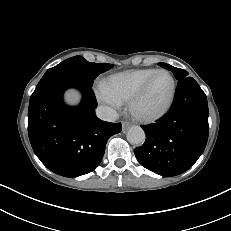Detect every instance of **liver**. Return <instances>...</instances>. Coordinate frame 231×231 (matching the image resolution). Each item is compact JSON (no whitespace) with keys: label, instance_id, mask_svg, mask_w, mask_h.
I'll use <instances>...</instances> for the list:
<instances>
[{"label":"liver","instance_id":"obj_1","mask_svg":"<svg viewBox=\"0 0 231 231\" xmlns=\"http://www.w3.org/2000/svg\"><path fill=\"white\" fill-rule=\"evenodd\" d=\"M65 100L68 104L74 105L77 104L80 100V95L75 90H69L65 94Z\"/></svg>","mask_w":231,"mask_h":231}]
</instances>
